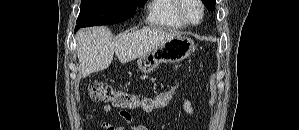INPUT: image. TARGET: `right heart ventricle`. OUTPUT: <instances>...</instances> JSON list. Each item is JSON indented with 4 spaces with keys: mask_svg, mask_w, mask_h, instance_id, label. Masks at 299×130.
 I'll use <instances>...</instances> for the list:
<instances>
[{
    "mask_svg": "<svg viewBox=\"0 0 299 130\" xmlns=\"http://www.w3.org/2000/svg\"><path fill=\"white\" fill-rule=\"evenodd\" d=\"M179 5L180 0L152 1L147 15L148 23L162 28L175 30L185 29L187 24L179 15Z\"/></svg>",
    "mask_w": 299,
    "mask_h": 130,
    "instance_id": "right-heart-ventricle-1",
    "label": "right heart ventricle"
}]
</instances>
